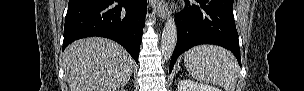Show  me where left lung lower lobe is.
<instances>
[{
  "label": "left lung lower lobe",
  "instance_id": "obj_1",
  "mask_svg": "<svg viewBox=\"0 0 304 91\" xmlns=\"http://www.w3.org/2000/svg\"><path fill=\"white\" fill-rule=\"evenodd\" d=\"M176 14L177 44L171 57L169 73L178 56L195 45L214 44L233 52L241 66L238 33L233 16V0H185Z\"/></svg>",
  "mask_w": 304,
  "mask_h": 91
}]
</instances>
